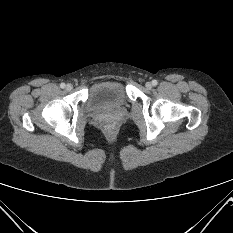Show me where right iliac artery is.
<instances>
[{"label":"right iliac artery","mask_w":233,"mask_h":233,"mask_svg":"<svg viewBox=\"0 0 233 233\" xmlns=\"http://www.w3.org/2000/svg\"><path fill=\"white\" fill-rule=\"evenodd\" d=\"M65 86H66L65 83H61V84H60V87H61V88H65Z\"/></svg>","instance_id":"82829eb1"}]
</instances>
